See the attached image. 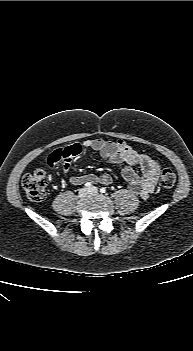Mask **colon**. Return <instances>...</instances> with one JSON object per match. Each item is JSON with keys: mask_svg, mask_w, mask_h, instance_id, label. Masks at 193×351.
<instances>
[{"mask_svg": "<svg viewBox=\"0 0 193 351\" xmlns=\"http://www.w3.org/2000/svg\"><path fill=\"white\" fill-rule=\"evenodd\" d=\"M160 183L165 188L173 187L176 183L174 171L170 168H164L160 174ZM22 187L31 199L42 201L46 197V173L41 169H37L25 174L22 178Z\"/></svg>", "mask_w": 193, "mask_h": 351, "instance_id": "colon-1", "label": "colon"}]
</instances>
